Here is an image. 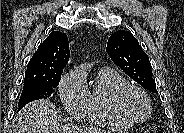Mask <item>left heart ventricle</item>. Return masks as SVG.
<instances>
[{
  "label": "left heart ventricle",
  "mask_w": 184,
  "mask_h": 133,
  "mask_svg": "<svg viewBox=\"0 0 184 133\" xmlns=\"http://www.w3.org/2000/svg\"><path fill=\"white\" fill-rule=\"evenodd\" d=\"M124 107L132 117L141 118L146 114L147 106L143 98L136 92H130L124 100Z\"/></svg>",
  "instance_id": "b2bd125f"
}]
</instances>
